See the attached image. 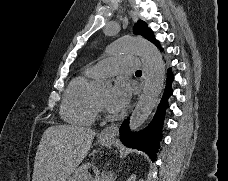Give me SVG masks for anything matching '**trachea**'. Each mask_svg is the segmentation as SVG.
<instances>
[{
	"mask_svg": "<svg viewBox=\"0 0 228 181\" xmlns=\"http://www.w3.org/2000/svg\"><path fill=\"white\" fill-rule=\"evenodd\" d=\"M135 73L141 75L142 74V71L141 70H137Z\"/></svg>",
	"mask_w": 228,
	"mask_h": 181,
	"instance_id": "3493384b",
	"label": "trachea"
}]
</instances>
